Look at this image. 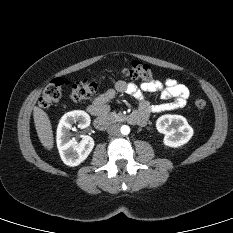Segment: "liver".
Here are the masks:
<instances>
[{
    "label": "liver",
    "mask_w": 233,
    "mask_h": 233,
    "mask_svg": "<svg viewBox=\"0 0 233 233\" xmlns=\"http://www.w3.org/2000/svg\"><path fill=\"white\" fill-rule=\"evenodd\" d=\"M33 118L40 142L46 149L51 150L54 145V138L51 122L47 113L35 106L33 109Z\"/></svg>",
    "instance_id": "6515ba94"
}]
</instances>
